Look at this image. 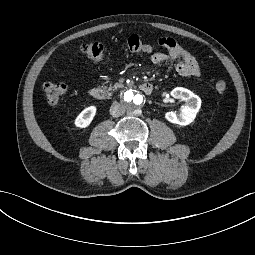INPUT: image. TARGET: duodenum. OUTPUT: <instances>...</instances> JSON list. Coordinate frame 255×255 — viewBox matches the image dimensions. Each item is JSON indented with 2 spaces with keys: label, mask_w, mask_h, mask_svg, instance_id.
<instances>
[{
  "label": "duodenum",
  "mask_w": 255,
  "mask_h": 255,
  "mask_svg": "<svg viewBox=\"0 0 255 255\" xmlns=\"http://www.w3.org/2000/svg\"><path fill=\"white\" fill-rule=\"evenodd\" d=\"M140 89L145 93V94H151L152 90H153V86L152 84L148 83V82H145V83H142L140 85ZM89 95L96 99V100H100V101H103V100H106L108 98V93L100 88V87H93L89 90Z\"/></svg>",
  "instance_id": "obj_1"
}]
</instances>
